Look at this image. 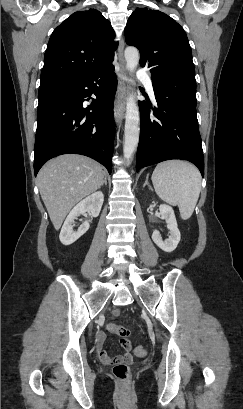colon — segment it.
<instances>
[{
  "mask_svg": "<svg viewBox=\"0 0 243 409\" xmlns=\"http://www.w3.org/2000/svg\"><path fill=\"white\" fill-rule=\"evenodd\" d=\"M107 328L109 331L115 333L121 340L126 339L130 334L127 328L117 326L112 323H109L107 325ZM135 354L137 356H143L146 354V349L143 346L139 345L135 348ZM113 375L121 384H123L125 387H128L131 377V371L127 363H118L117 365H115L113 368Z\"/></svg>",
  "mask_w": 243,
  "mask_h": 409,
  "instance_id": "1",
  "label": "colon"
}]
</instances>
